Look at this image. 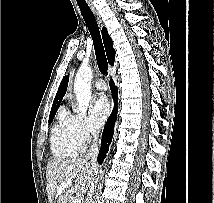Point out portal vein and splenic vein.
<instances>
[{
  "instance_id": "portal-vein-and-splenic-vein-1",
  "label": "portal vein and splenic vein",
  "mask_w": 214,
  "mask_h": 203,
  "mask_svg": "<svg viewBox=\"0 0 214 203\" xmlns=\"http://www.w3.org/2000/svg\"><path fill=\"white\" fill-rule=\"evenodd\" d=\"M72 185V181L71 180H68V181H65V182H62L60 184V186L57 188V191L59 193H61L66 187L68 186H71ZM71 203H81V200L78 199V198H75L71 201Z\"/></svg>"
}]
</instances>
